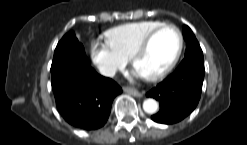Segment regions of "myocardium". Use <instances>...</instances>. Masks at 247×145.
<instances>
[{
  "label": "myocardium",
  "instance_id": "1",
  "mask_svg": "<svg viewBox=\"0 0 247 145\" xmlns=\"http://www.w3.org/2000/svg\"><path fill=\"white\" fill-rule=\"evenodd\" d=\"M167 28H171L173 30L176 31L177 36H178V47L176 50L175 55L173 56L172 60L161 70L146 76V78L148 80L151 81H155L158 80L160 78H163L164 76H166L168 73H170L173 68L176 66L182 51H183V46H184V38H183V34L181 32V30L173 25V24H162L158 27H156L155 29H153L152 31H150L144 38L143 40L139 43V45L133 50V52L131 53L129 60L132 66L135 67L136 61L137 59L148 49V47L150 46L152 40L154 39V37L162 30L167 29Z\"/></svg>",
  "mask_w": 247,
  "mask_h": 145
}]
</instances>
